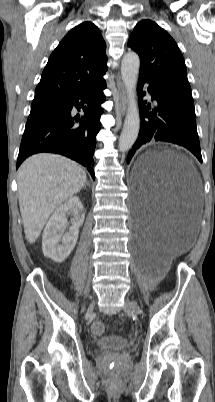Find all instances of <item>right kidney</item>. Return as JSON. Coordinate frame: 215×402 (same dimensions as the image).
Instances as JSON below:
<instances>
[{
	"label": "right kidney",
	"instance_id": "1",
	"mask_svg": "<svg viewBox=\"0 0 215 402\" xmlns=\"http://www.w3.org/2000/svg\"><path fill=\"white\" fill-rule=\"evenodd\" d=\"M67 214H72L74 218L69 233L62 235V230L68 224ZM84 219L85 213L79 197L73 196L59 206L43 232L42 250L44 255L57 263L63 262L77 243L79 227L82 226Z\"/></svg>",
	"mask_w": 215,
	"mask_h": 402
}]
</instances>
